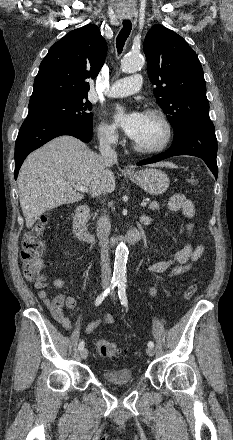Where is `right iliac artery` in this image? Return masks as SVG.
Returning <instances> with one entry per match:
<instances>
[{
	"instance_id": "82829eb1",
	"label": "right iliac artery",
	"mask_w": 233,
	"mask_h": 440,
	"mask_svg": "<svg viewBox=\"0 0 233 440\" xmlns=\"http://www.w3.org/2000/svg\"><path fill=\"white\" fill-rule=\"evenodd\" d=\"M118 282L119 281L116 279H113L111 281L109 287L96 298L95 300L96 306L100 305L103 302V300L108 296V294L117 286ZM83 348H84V341H81L78 345V349L81 351Z\"/></svg>"
}]
</instances>
